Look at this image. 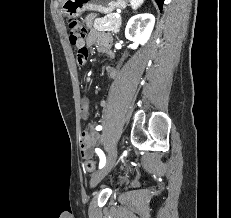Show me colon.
Returning <instances> with one entry per match:
<instances>
[{"mask_svg":"<svg viewBox=\"0 0 231 218\" xmlns=\"http://www.w3.org/2000/svg\"><path fill=\"white\" fill-rule=\"evenodd\" d=\"M69 39L73 45H76L79 42L84 41L86 37L85 27L76 19H70L67 22ZM77 58H88L87 48H81L78 50ZM84 167L88 172H94L96 168L95 161L87 159L84 163Z\"/></svg>","mask_w":231,"mask_h":218,"instance_id":"5ec220e1","label":"colon"}]
</instances>
